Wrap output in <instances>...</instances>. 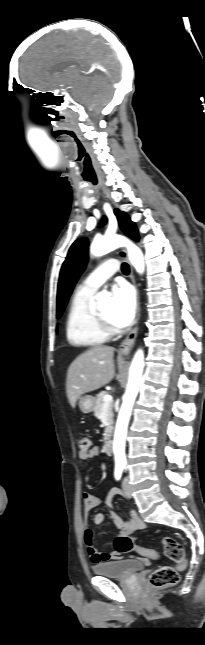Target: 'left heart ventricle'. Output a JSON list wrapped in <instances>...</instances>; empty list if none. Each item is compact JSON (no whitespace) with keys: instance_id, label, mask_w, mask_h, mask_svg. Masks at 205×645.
<instances>
[{"instance_id":"obj_1","label":"left heart ventricle","mask_w":205,"mask_h":645,"mask_svg":"<svg viewBox=\"0 0 205 645\" xmlns=\"http://www.w3.org/2000/svg\"><path fill=\"white\" fill-rule=\"evenodd\" d=\"M98 312L102 316H104L108 321H110V322H112L114 324V322H113V308H112L111 304H107L106 306H104L103 308L98 310Z\"/></svg>"}]
</instances>
